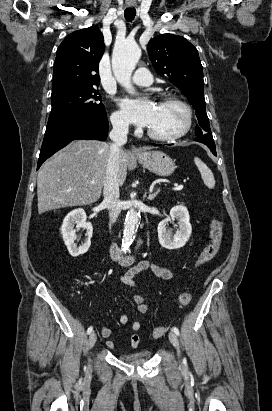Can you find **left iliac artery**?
Segmentation results:
<instances>
[{"label": "left iliac artery", "mask_w": 272, "mask_h": 411, "mask_svg": "<svg viewBox=\"0 0 272 411\" xmlns=\"http://www.w3.org/2000/svg\"><path fill=\"white\" fill-rule=\"evenodd\" d=\"M172 331H173L176 335H178V336L180 335L179 329H178L177 327L174 326V327L172 328Z\"/></svg>", "instance_id": "left-iliac-artery-1"}]
</instances>
